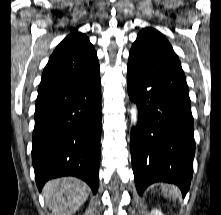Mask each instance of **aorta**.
<instances>
[{"mask_svg": "<svg viewBox=\"0 0 221 215\" xmlns=\"http://www.w3.org/2000/svg\"><path fill=\"white\" fill-rule=\"evenodd\" d=\"M131 121H132V124H136L137 122V109H136V106H132L131 108Z\"/></svg>", "mask_w": 221, "mask_h": 215, "instance_id": "aorta-1", "label": "aorta"}]
</instances>
